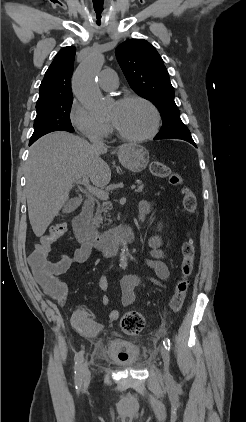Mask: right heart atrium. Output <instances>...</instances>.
Segmentation results:
<instances>
[{"label":"right heart atrium","mask_w":246,"mask_h":422,"mask_svg":"<svg viewBox=\"0 0 246 422\" xmlns=\"http://www.w3.org/2000/svg\"><path fill=\"white\" fill-rule=\"evenodd\" d=\"M70 122L83 137L89 140H100L111 131L109 124L94 118L79 102L74 101L70 110Z\"/></svg>","instance_id":"right-heart-atrium-1"}]
</instances>
